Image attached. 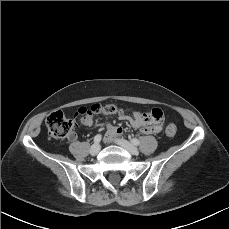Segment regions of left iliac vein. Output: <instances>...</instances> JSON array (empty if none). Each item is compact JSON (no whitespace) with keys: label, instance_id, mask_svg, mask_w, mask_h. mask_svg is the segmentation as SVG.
Here are the masks:
<instances>
[{"label":"left iliac vein","instance_id":"obj_1","mask_svg":"<svg viewBox=\"0 0 229 229\" xmlns=\"http://www.w3.org/2000/svg\"><path fill=\"white\" fill-rule=\"evenodd\" d=\"M115 143L124 148L125 150H127L132 155L139 154L138 148L125 139H117L115 140Z\"/></svg>","mask_w":229,"mask_h":229}]
</instances>
